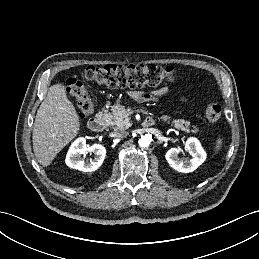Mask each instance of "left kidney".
I'll return each instance as SVG.
<instances>
[{"mask_svg":"<svg viewBox=\"0 0 259 259\" xmlns=\"http://www.w3.org/2000/svg\"><path fill=\"white\" fill-rule=\"evenodd\" d=\"M185 149L192 155V159L182 160L178 157L181 152L179 148H171L167 151L165 158L169 165L182 173H190L196 170L206 159V153L203 150L199 140L194 137L188 138Z\"/></svg>","mask_w":259,"mask_h":259,"instance_id":"left-kidney-1","label":"left kidney"}]
</instances>
